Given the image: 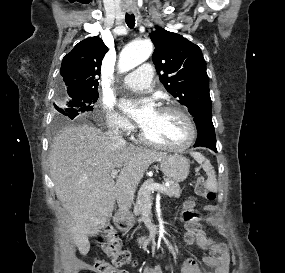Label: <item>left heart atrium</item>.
Segmentation results:
<instances>
[{"label": "left heart atrium", "instance_id": "1", "mask_svg": "<svg viewBox=\"0 0 285 273\" xmlns=\"http://www.w3.org/2000/svg\"><path fill=\"white\" fill-rule=\"evenodd\" d=\"M122 111L135 120L141 127L146 126L156 115L157 109L151 98L139 100H122L120 103Z\"/></svg>", "mask_w": 285, "mask_h": 273}]
</instances>
